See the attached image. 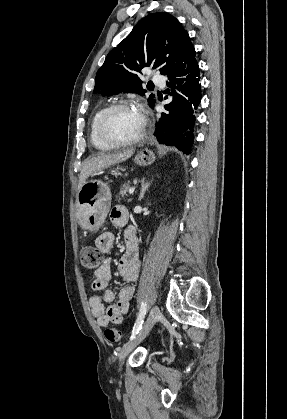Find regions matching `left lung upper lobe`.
Instances as JSON below:
<instances>
[{
  "label": "left lung upper lobe",
  "instance_id": "obj_1",
  "mask_svg": "<svg viewBox=\"0 0 287 419\" xmlns=\"http://www.w3.org/2000/svg\"><path fill=\"white\" fill-rule=\"evenodd\" d=\"M195 57V49L181 23L166 12L149 14L106 57L96 74L93 93L106 96L120 92H146L138 73L152 66L169 76L184 69ZM154 95L148 98L154 105Z\"/></svg>",
  "mask_w": 287,
  "mask_h": 419
}]
</instances>
